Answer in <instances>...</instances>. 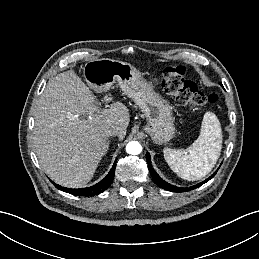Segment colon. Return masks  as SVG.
I'll return each instance as SVG.
<instances>
[{
    "instance_id": "colon-1",
    "label": "colon",
    "mask_w": 259,
    "mask_h": 259,
    "mask_svg": "<svg viewBox=\"0 0 259 259\" xmlns=\"http://www.w3.org/2000/svg\"><path fill=\"white\" fill-rule=\"evenodd\" d=\"M162 89L171 95L178 105L196 110L218 101L217 94L206 95L197 85L185 79L184 66L167 67L163 72Z\"/></svg>"
}]
</instances>
